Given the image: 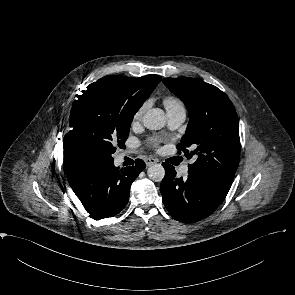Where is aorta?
<instances>
[{"mask_svg": "<svg viewBox=\"0 0 295 295\" xmlns=\"http://www.w3.org/2000/svg\"><path fill=\"white\" fill-rule=\"evenodd\" d=\"M166 123L165 113L160 108L148 110L143 117V125L149 130H159ZM149 179L160 182L165 176V169L161 164H153L147 171Z\"/></svg>", "mask_w": 295, "mask_h": 295, "instance_id": "aorta-1", "label": "aorta"}]
</instances>
